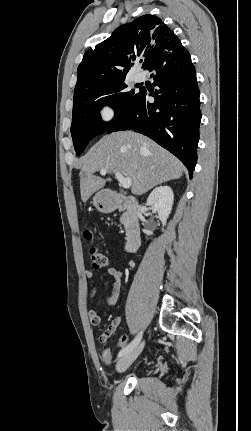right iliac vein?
I'll list each match as a JSON object with an SVG mask.
<instances>
[{
  "instance_id": "right-iliac-vein-1",
  "label": "right iliac vein",
  "mask_w": 251,
  "mask_h": 431,
  "mask_svg": "<svg viewBox=\"0 0 251 431\" xmlns=\"http://www.w3.org/2000/svg\"><path fill=\"white\" fill-rule=\"evenodd\" d=\"M144 347V343L139 344L134 349H132L130 352L122 356L116 365V369L118 372H124L127 370L130 365L136 360V358L141 353L142 349Z\"/></svg>"
}]
</instances>
